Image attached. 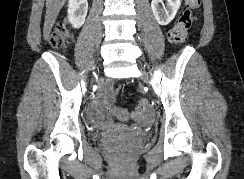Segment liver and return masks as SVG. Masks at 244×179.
<instances>
[{"label": "liver", "instance_id": "6515ba94", "mask_svg": "<svg viewBox=\"0 0 244 179\" xmlns=\"http://www.w3.org/2000/svg\"><path fill=\"white\" fill-rule=\"evenodd\" d=\"M65 2L66 0H46V14H45V22L43 26L44 40H49L50 32Z\"/></svg>", "mask_w": 244, "mask_h": 179}]
</instances>
